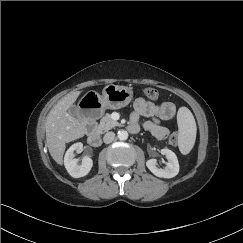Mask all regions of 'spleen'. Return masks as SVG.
Segmentation results:
<instances>
[{"instance_id":"obj_1","label":"spleen","mask_w":243,"mask_h":243,"mask_svg":"<svg viewBox=\"0 0 243 243\" xmlns=\"http://www.w3.org/2000/svg\"><path fill=\"white\" fill-rule=\"evenodd\" d=\"M178 147L183 155H187L193 148L196 140V122L193 114L187 107H181L177 113Z\"/></svg>"}]
</instances>
